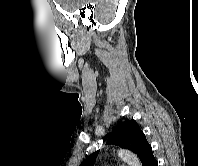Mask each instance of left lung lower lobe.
I'll list each match as a JSON object with an SVG mask.
<instances>
[{
    "label": "left lung lower lobe",
    "instance_id": "0a47b994",
    "mask_svg": "<svg viewBox=\"0 0 198 166\" xmlns=\"http://www.w3.org/2000/svg\"><path fill=\"white\" fill-rule=\"evenodd\" d=\"M157 165H158V161L155 159L154 156H152L150 157V159L148 160L145 166H157Z\"/></svg>",
    "mask_w": 198,
    "mask_h": 166
}]
</instances>
